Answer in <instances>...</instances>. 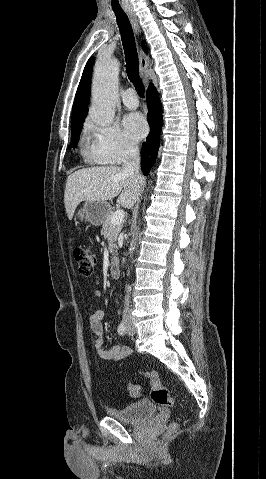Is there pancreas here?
Masks as SVG:
<instances>
[{"label": "pancreas", "mask_w": 266, "mask_h": 479, "mask_svg": "<svg viewBox=\"0 0 266 479\" xmlns=\"http://www.w3.org/2000/svg\"><path fill=\"white\" fill-rule=\"evenodd\" d=\"M112 216L113 212H109L105 221L103 222L101 234L108 239L109 252L114 255L117 249L116 241L123 225H113L111 223Z\"/></svg>", "instance_id": "cf45deb5"}]
</instances>
